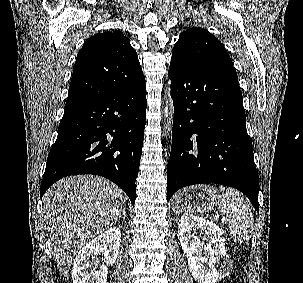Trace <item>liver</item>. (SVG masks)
<instances>
[{
	"instance_id": "liver-1",
	"label": "liver",
	"mask_w": 303,
	"mask_h": 283,
	"mask_svg": "<svg viewBox=\"0 0 303 283\" xmlns=\"http://www.w3.org/2000/svg\"><path fill=\"white\" fill-rule=\"evenodd\" d=\"M125 202V194L117 185L91 175L61 179L45 193L44 225L61 274L68 275L84 245L114 225Z\"/></svg>"
}]
</instances>
